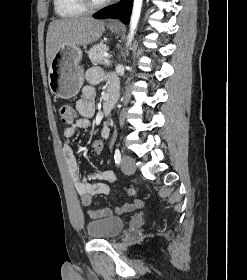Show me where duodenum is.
Returning <instances> with one entry per match:
<instances>
[{
    "label": "duodenum",
    "instance_id": "obj_1",
    "mask_svg": "<svg viewBox=\"0 0 247 280\" xmlns=\"http://www.w3.org/2000/svg\"><path fill=\"white\" fill-rule=\"evenodd\" d=\"M117 99V91L115 87H110L109 90L105 94V101L103 105L104 114H109L113 109V106Z\"/></svg>",
    "mask_w": 247,
    "mask_h": 280
}]
</instances>
